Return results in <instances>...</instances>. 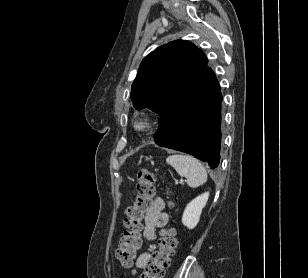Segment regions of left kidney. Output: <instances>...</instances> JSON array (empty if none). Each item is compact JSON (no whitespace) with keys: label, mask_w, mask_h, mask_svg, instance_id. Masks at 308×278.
<instances>
[{"label":"left kidney","mask_w":308,"mask_h":278,"mask_svg":"<svg viewBox=\"0 0 308 278\" xmlns=\"http://www.w3.org/2000/svg\"><path fill=\"white\" fill-rule=\"evenodd\" d=\"M209 198V193H203L193 199L185 208L182 216V223L188 229L196 227L200 220L202 209L205 207Z\"/></svg>","instance_id":"5707ae66"}]
</instances>
